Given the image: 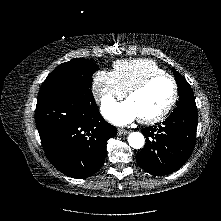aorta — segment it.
<instances>
[{
  "label": "aorta",
  "instance_id": "aorta-1",
  "mask_svg": "<svg viewBox=\"0 0 221 221\" xmlns=\"http://www.w3.org/2000/svg\"><path fill=\"white\" fill-rule=\"evenodd\" d=\"M128 143L134 149H140L145 144V138L140 132H132L128 136Z\"/></svg>",
  "mask_w": 221,
  "mask_h": 221
}]
</instances>
